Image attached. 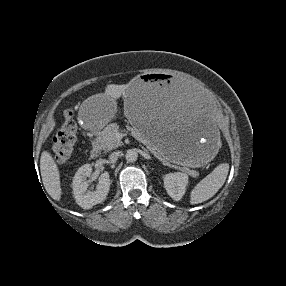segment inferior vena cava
I'll return each instance as SVG.
<instances>
[{
  "instance_id": "1",
  "label": "inferior vena cava",
  "mask_w": 286,
  "mask_h": 286,
  "mask_svg": "<svg viewBox=\"0 0 286 286\" xmlns=\"http://www.w3.org/2000/svg\"><path fill=\"white\" fill-rule=\"evenodd\" d=\"M119 156H120V152H113V153H111L109 155V162L110 163H115L118 160Z\"/></svg>"
}]
</instances>
